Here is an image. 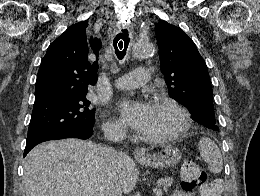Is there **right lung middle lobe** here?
<instances>
[{"label":"right lung middle lobe","mask_w":260,"mask_h":196,"mask_svg":"<svg viewBox=\"0 0 260 196\" xmlns=\"http://www.w3.org/2000/svg\"><path fill=\"white\" fill-rule=\"evenodd\" d=\"M86 94L61 95L34 105L26 147L93 127L95 109Z\"/></svg>","instance_id":"dd1d6c3e"}]
</instances>
